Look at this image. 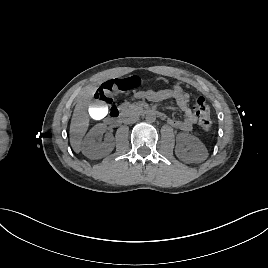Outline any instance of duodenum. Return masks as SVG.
Wrapping results in <instances>:
<instances>
[{
    "label": "duodenum",
    "instance_id": "410a0bca",
    "mask_svg": "<svg viewBox=\"0 0 268 268\" xmlns=\"http://www.w3.org/2000/svg\"><path fill=\"white\" fill-rule=\"evenodd\" d=\"M131 111L137 114H152L160 117L163 116L161 112L147 106H136ZM125 113L126 111L121 107H111L109 110L108 121L112 124H116L121 121Z\"/></svg>",
    "mask_w": 268,
    "mask_h": 268
}]
</instances>
